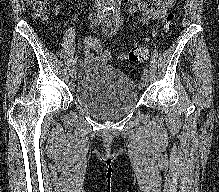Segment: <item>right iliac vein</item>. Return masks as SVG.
Here are the masks:
<instances>
[{
	"instance_id": "right-iliac-vein-1",
	"label": "right iliac vein",
	"mask_w": 219,
	"mask_h": 192,
	"mask_svg": "<svg viewBox=\"0 0 219 192\" xmlns=\"http://www.w3.org/2000/svg\"><path fill=\"white\" fill-rule=\"evenodd\" d=\"M101 13H102L101 9L100 8L97 9L96 14L100 15ZM76 74H77V67L76 66H72V68L70 70V76L72 78H74L76 76Z\"/></svg>"
}]
</instances>
